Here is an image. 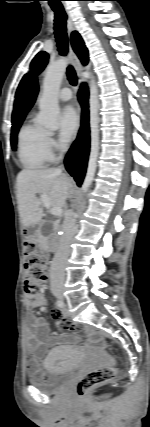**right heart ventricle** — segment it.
I'll return each mask as SVG.
<instances>
[{"label":"right heart ventricle","instance_id":"e07e8e85","mask_svg":"<svg viewBox=\"0 0 150 427\" xmlns=\"http://www.w3.org/2000/svg\"><path fill=\"white\" fill-rule=\"evenodd\" d=\"M47 132L33 121H27L17 135V156L25 169L44 168L51 160L46 145Z\"/></svg>","mask_w":150,"mask_h":427}]
</instances>
